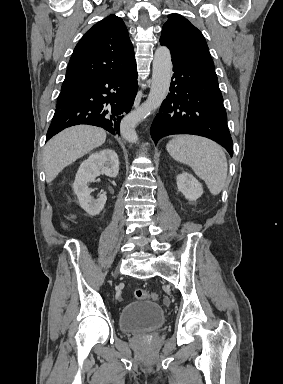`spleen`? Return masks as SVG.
Returning <instances> with one entry per match:
<instances>
[{
  "mask_svg": "<svg viewBox=\"0 0 283 384\" xmlns=\"http://www.w3.org/2000/svg\"><path fill=\"white\" fill-rule=\"evenodd\" d=\"M176 162L187 164L204 180L212 196L220 194L227 178V160L219 144L200 136H177L166 146Z\"/></svg>",
  "mask_w": 283,
  "mask_h": 384,
  "instance_id": "3e777b00",
  "label": "spleen"
}]
</instances>
